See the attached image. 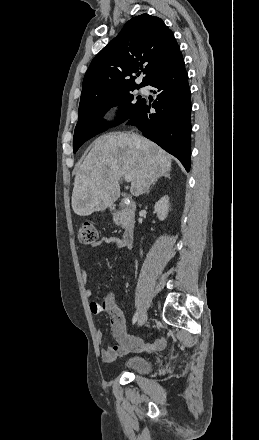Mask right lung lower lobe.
<instances>
[{
  "label": "right lung lower lobe",
  "instance_id": "right-lung-lower-lobe-1",
  "mask_svg": "<svg viewBox=\"0 0 259 440\" xmlns=\"http://www.w3.org/2000/svg\"><path fill=\"white\" fill-rule=\"evenodd\" d=\"M148 85L156 88L157 101L151 105L143 100L127 125H135L143 135L178 158L185 169L190 168V88L182 54L159 70Z\"/></svg>",
  "mask_w": 259,
  "mask_h": 440
}]
</instances>
